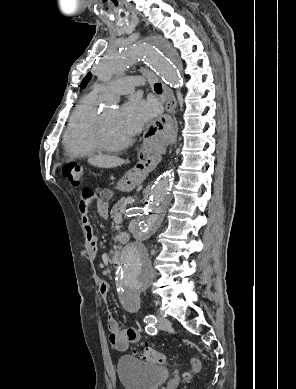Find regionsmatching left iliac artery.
<instances>
[{
  "mask_svg": "<svg viewBox=\"0 0 296 389\" xmlns=\"http://www.w3.org/2000/svg\"><path fill=\"white\" fill-rule=\"evenodd\" d=\"M144 322H146L145 330L148 334L155 335L157 330L155 328V323L157 322V319L154 315H147L144 319Z\"/></svg>",
  "mask_w": 296,
  "mask_h": 389,
  "instance_id": "44dca946",
  "label": "left iliac artery"
}]
</instances>
